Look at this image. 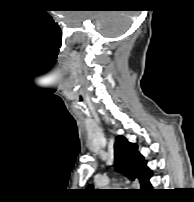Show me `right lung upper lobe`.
Listing matches in <instances>:
<instances>
[{"label":"right lung upper lobe","mask_w":194,"mask_h":202,"mask_svg":"<svg viewBox=\"0 0 194 202\" xmlns=\"http://www.w3.org/2000/svg\"><path fill=\"white\" fill-rule=\"evenodd\" d=\"M115 164L117 168L129 179L137 178L142 189L151 188L149 178L152 170L147 167V161L138 152L136 144L129 142L125 137H116L114 144Z\"/></svg>","instance_id":"cb5924a9"}]
</instances>
